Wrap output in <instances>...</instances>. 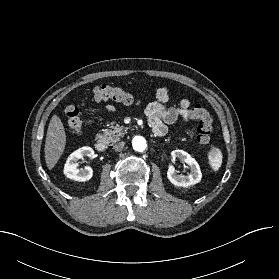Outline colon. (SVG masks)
<instances>
[{
  "mask_svg": "<svg viewBox=\"0 0 279 279\" xmlns=\"http://www.w3.org/2000/svg\"><path fill=\"white\" fill-rule=\"evenodd\" d=\"M93 97L96 101H115L125 105L136 103L132 94L120 87L102 84L94 88ZM68 126L76 133L81 132L82 118L80 110L76 105H69L65 109ZM191 118L198 122L196 132L197 140L202 145L210 143L213 134L212 118L208 112L199 104H195L190 110Z\"/></svg>",
  "mask_w": 279,
  "mask_h": 279,
  "instance_id": "obj_1",
  "label": "colon"
}]
</instances>
